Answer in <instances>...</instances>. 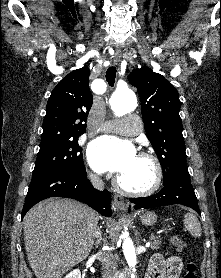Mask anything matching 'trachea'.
<instances>
[{
	"mask_svg": "<svg viewBox=\"0 0 221 278\" xmlns=\"http://www.w3.org/2000/svg\"><path fill=\"white\" fill-rule=\"evenodd\" d=\"M116 72H117V70H116L115 66L109 67L106 71V80L111 87L114 86Z\"/></svg>",
	"mask_w": 221,
	"mask_h": 278,
	"instance_id": "trachea-1",
	"label": "trachea"
}]
</instances>
